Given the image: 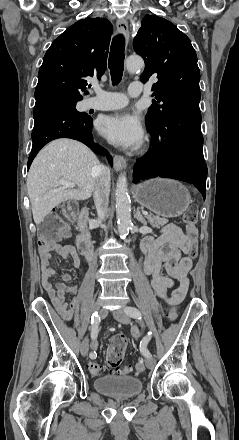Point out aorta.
Listing matches in <instances>:
<instances>
[{"mask_svg":"<svg viewBox=\"0 0 239 440\" xmlns=\"http://www.w3.org/2000/svg\"><path fill=\"white\" fill-rule=\"evenodd\" d=\"M126 66L128 72H136V70L143 68L144 62L140 56H130L126 62ZM115 196L119 236H126L131 224V200L125 174H120L117 180Z\"/></svg>","mask_w":239,"mask_h":440,"instance_id":"obj_1","label":"aorta"}]
</instances>
